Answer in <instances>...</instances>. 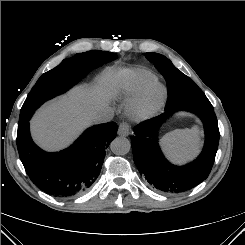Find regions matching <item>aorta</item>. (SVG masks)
I'll list each match as a JSON object with an SVG mask.
<instances>
[{
	"instance_id": "aorta-1",
	"label": "aorta",
	"mask_w": 245,
	"mask_h": 245,
	"mask_svg": "<svg viewBox=\"0 0 245 245\" xmlns=\"http://www.w3.org/2000/svg\"><path fill=\"white\" fill-rule=\"evenodd\" d=\"M110 148L116 155H125L130 151L131 143L125 137H117L111 142Z\"/></svg>"
}]
</instances>
